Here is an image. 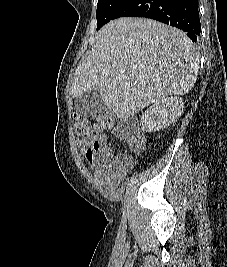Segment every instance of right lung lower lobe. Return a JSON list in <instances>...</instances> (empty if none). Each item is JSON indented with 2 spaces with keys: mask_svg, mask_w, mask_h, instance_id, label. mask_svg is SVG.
I'll list each match as a JSON object with an SVG mask.
<instances>
[{
  "mask_svg": "<svg viewBox=\"0 0 227 267\" xmlns=\"http://www.w3.org/2000/svg\"><path fill=\"white\" fill-rule=\"evenodd\" d=\"M119 17H145L170 24L187 32L193 42L201 32L198 0H128L113 19Z\"/></svg>",
  "mask_w": 227,
  "mask_h": 267,
  "instance_id": "right-lung-lower-lobe-1",
  "label": "right lung lower lobe"
}]
</instances>
